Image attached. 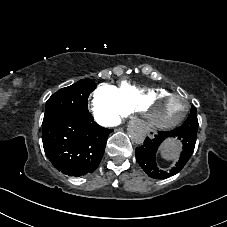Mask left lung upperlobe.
Returning <instances> with one entry per match:
<instances>
[{"instance_id": "left-lung-upper-lobe-1", "label": "left lung upper lobe", "mask_w": 227, "mask_h": 227, "mask_svg": "<svg viewBox=\"0 0 227 227\" xmlns=\"http://www.w3.org/2000/svg\"><path fill=\"white\" fill-rule=\"evenodd\" d=\"M182 129L191 130L197 132L198 130V119H197V110L196 107H191V112L189 117L181 126Z\"/></svg>"}]
</instances>
